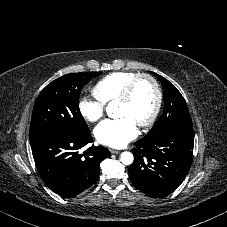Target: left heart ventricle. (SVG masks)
I'll return each mask as SVG.
<instances>
[{
  "instance_id": "b2bd125f",
  "label": "left heart ventricle",
  "mask_w": 227,
  "mask_h": 227,
  "mask_svg": "<svg viewBox=\"0 0 227 227\" xmlns=\"http://www.w3.org/2000/svg\"><path fill=\"white\" fill-rule=\"evenodd\" d=\"M155 104V91L152 84L142 79L135 87L132 98L127 103H117L116 111L120 117L130 118L136 125L146 120Z\"/></svg>"
}]
</instances>
